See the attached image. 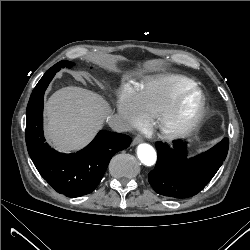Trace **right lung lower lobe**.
Here are the masks:
<instances>
[{
    "instance_id": "right-lung-lower-lobe-1",
    "label": "right lung lower lobe",
    "mask_w": 250,
    "mask_h": 250,
    "mask_svg": "<svg viewBox=\"0 0 250 250\" xmlns=\"http://www.w3.org/2000/svg\"><path fill=\"white\" fill-rule=\"evenodd\" d=\"M56 72V69H49L30 96L26 144L34 165L52 188L68 197H79L97 187L113 155L127 148L131 139L124 134L102 130L87 147L73 154L59 153L45 143L43 97Z\"/></svg>"
}]
</instances>
